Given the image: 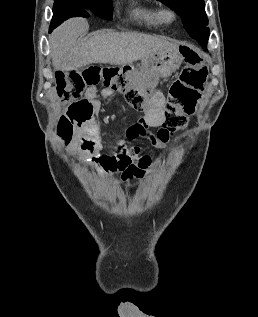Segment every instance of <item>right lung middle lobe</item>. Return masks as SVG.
<instances>
[{
	"label": "right lung middle lobe",
	"instance_id": "dd1d6c3e",
	"mask_svg": "<svg viewBox=\"0 0 258 317\" xmlns=\"http://www.w3.org/2000/svg\"><path fill=\"white\" fill-rule=\"evenodd\" d=\"M54 4L61 2H77L84 5L87 8H94L97 11V16L111 20L112 19V2L111 0H54Z\"/></svg>",
	"mask_w": 258,
	"mask_h": 317
}]
</instances>
